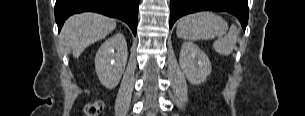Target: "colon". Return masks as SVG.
I'll return each instance as SVG.
<instances>
[{
	"instance_id": "1",
	"label": "colon",
	"mask_w": 305,
	"mask_h": 116,
	"mask_svg": "<svg viewBox=\"0 0 305 116\" xmlns=\"http://www.w3.org/2000/svg\"><path fill=\"white\" fill-rule=\"evenodd\" d=\"M104 110V104L101 101H94L86 104L84 113L86 116H99Z\"/></svg>"
}]
</instances>
